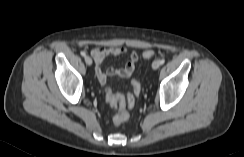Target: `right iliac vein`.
Segmentation results:
<instances>
[{"label":"right iliac vein","instance_id":"1","mask_svg":"<svg viewBox=\"0 0 244 157\" xmlns=\"http://www.w3.org/2000/svg\"><path fill=\"white\" fill-rule=\"evenodd\" d=\"M85 62H86V64L89 65V66H91L92 63H93V62H92V59H91L89 56H86V57H85Z\"/></svg>","mask_w":244,"mask_h":157}]
</instances>
